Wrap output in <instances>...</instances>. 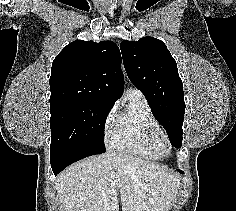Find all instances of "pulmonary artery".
I'll return each mask as SVG.
<instances>
[{
    "instance_id": "e3ab8cb5",
    "label": "pulmonary artery",
    "mask_w": 236,
    "mask_h": 211,
    "mask_svg": "<svg viewBox=\"0 0 236 211\" xmlns=\"http://www.w3.org/2000/svg\"><path fill=\"white\" fill-rule=\"evenodd\" d=\"M136 95H142V93L137 89H129L127 92V96H136Z\"/></svg>"
}]
</instances>
